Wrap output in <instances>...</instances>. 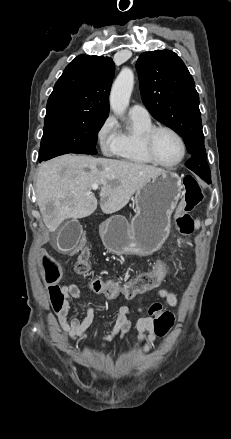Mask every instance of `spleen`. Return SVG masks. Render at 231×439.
<instances>
[{"label":"spleen","mask_w":231,"mask_h":439,"mask_svg":"<svg viewBox=\"0 0 231 439\" xmlns=\"http://www.w3.org/2000/svg\"><path fill=\"white\" fill-rule=\"evenodd\" d=\"M195 227H196L197 229L200 227V221H199V220H196V222H195Z\"/></svg>","instance_id":"obj_1"}]
</instances>
